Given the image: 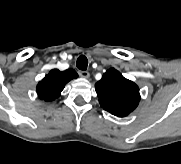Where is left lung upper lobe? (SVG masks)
Returning a JSON list of instances; mask_svg holds the SVG:
<instances>
[{
	"instance_id": "1",
	"label": "left lung upper lobe",
	"mask_w": 181,
	"mask_h": 164,
	"mask_svg": "<svg viewBox=\"0 0 181 164\" xmlns=\"http://www.w3.org/2000/svg\"><path fill=\"white\" fill-rule=\"evenodd\" d=\"M95 90L103 109L118 117L129 115L140 101L138 86L114 68L103 74Z\"/></svg>"
}]
</instances>
